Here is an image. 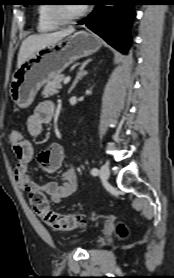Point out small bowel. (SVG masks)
Returning a JSON list of instances; mask_svg holds the SVG:
<instances>
[{"label":"small bowel","mask_w":174,"mask_h":278,"mask_svg":"<svg viewBox=\"0 0 174 278\" xmlns=\"http://www.w3.org/2000/svg\"><path fill=\"white\" fill-rule=\"evenodd\" d=\"M55 113V106L51 101H44L36 106L28 117L26 126L31 136H38L44 125L51 122ZM12 145V151L16 158L15 179L21 190L27 193L40 192L51 198L52 202L60 203L64 198L71 197L77 190V175L72 166H67L63 174L64 183L48 181L36 183L29 172V164L34 159V149L31 142L23 139ZM64 150L58 143H52L42 151L37 160L40 166L47 172H55L62 167L64 162Z\"/></svg>","instance_id":"c3829d8e"}]
</instances>
